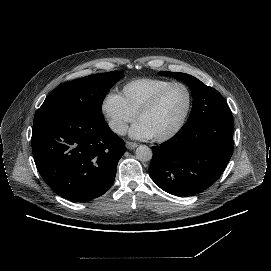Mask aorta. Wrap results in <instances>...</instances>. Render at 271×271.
I'll list each match as a JSON object with an SVG mask.
<instances>
[{"label": "aorta", "instance_id": "aorta-1", "mask_svg": "<svg viewBox=\"0 0 271 271\" xmlns=\"http://www.w3.org/2000/svg\"><path fill=\"white\" fill-rule=\"evenodd\" d=\"M136 158L142 162L152 159V150L146 145H140L136 149Z\"/></svg>", "mask_w": 271, "mask_h": 271}]
</instances>
